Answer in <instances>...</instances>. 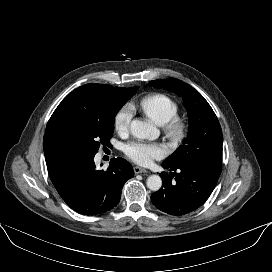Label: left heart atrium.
I'll use <instances>...</instances> for the list:
<instances>
[{"mask_svg": "<svg viewBox=\"0 0 272 272\" xmlns=\"http://www.w3.org/2000/svg\"><path fill=\"white\" fill-rule=\"evenodd\" d=\"M125 155L140 165H148L155 159L164 156V148L156 143L131 142L124 147Z\"/></svg>", "mask_w": 272, "mask_h": 272, "instance_id": "obj_1", "label": "left heart atrium"}]
</instances>
